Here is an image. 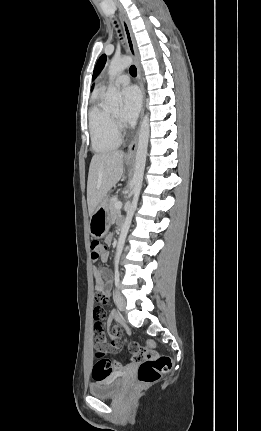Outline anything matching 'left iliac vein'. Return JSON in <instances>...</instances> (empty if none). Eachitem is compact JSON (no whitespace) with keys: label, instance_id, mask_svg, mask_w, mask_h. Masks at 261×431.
<instances>
[{"label":"left iliac vein","instance_id":"4c4485c4","mask_svg":"<svg viewBox=\"0 0 261 431\" xmlns=\"http://www.w3.org/2000/svg\"><path fill=\"white\" fill-rule=\"evenodd\" d=\"M115 304L119 311H124L126 306V301L123 295L117 290L114 295Z\"/></svg>","mask_w":261,"mask_h":431}]
</instances>
